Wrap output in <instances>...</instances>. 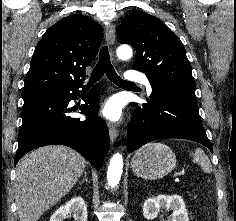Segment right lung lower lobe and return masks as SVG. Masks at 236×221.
Masks as SVG:
<instances>
[{
  "label": "right lung lower lobe",
  "mask_w": 236,
  "mask_h": 221,
  "mask_svg": "<svg viewBox=\"0 0 236 221\" xmlns=\"http://www.w3.org/2000/svg\"><path fill=\"white\" fill-rule=\"evenodd\" d=\"M82 84H71L54 93H34L23 97L22 125L18 137L15 164L29 151L52 144L71 147L90 161L97 170L108 152L109 134L105 122L96 116L99 110V84L88 94L81 105L86 119L68 115L70 100L77 99ZM79 95V94H78Z\"/></svg>",
  "instance_id": "1"
}]
</instances>
